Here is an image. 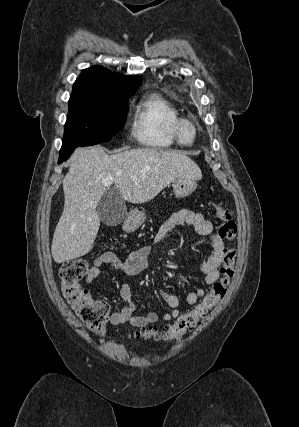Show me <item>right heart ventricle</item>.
I'll use <instances>...</instances> for the list:
<instances>
[{
  "label": "right heart ventricle",
  "mask_w": 299,
  "mask_h": 427,
  "mask_svg": "<svg viewBox=\"0 0 299 427\" xmlns=\"http://www.w3.org/2000/svg\"><path fill=\"white\" fill-rule=\"evenodd\" d=\"M179 117L177 108L164 96L150 92L134 105L132 134L137 143L155 150L176 145L171 125Z\"/></svg>",
  "instance_id": "1"
}]
</instances>
